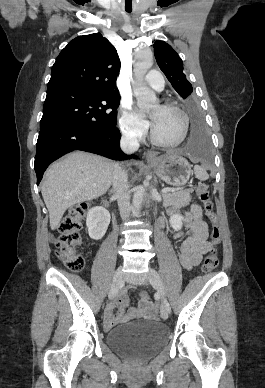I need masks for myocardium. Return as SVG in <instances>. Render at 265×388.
Segmentation results:
<instances>
[{"instance_id":"myocardium-1","label":"myocardium","mask_w":265,"mask_h":388,"mask_svg":"<svg viewBox=\"0 0 265 388\" xmlns=\"http://www.w3.org/2000/svg\"><path fill=\"white\" fill-rule=\"evenodd\" d=\"M162 107L179 115V117L181 118L180 133L173 140L164 139L159 135V133L156 130L155 123H153L152 127H151L152 138L157 144H159L163 147H176V146L180 145L187 137L188 129H189V118H188L187 114L178 106H175V105L170 104V103H166Z\"/></svg>"}]
</instances>
